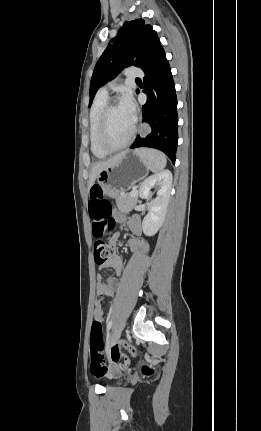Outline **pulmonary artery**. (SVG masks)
<instances>
[{
	"label": "pulmonary artery",
	"instance_id": "obj_1",
	"mask_svg": "<svg viewBox=\"0 0 261 431\" xmlns=\"http://www.w3.org/2000/svg\"><path fill=\"white\" fill-rule=\"evenodd\" d=\"M125 75L128 78H140L144 75L143 71L139 68L131 67L125 71ZM98 94L106 95L108 94V86L105 85L101 87L98 91Z\"/></svg>",
	"mask_w": 261,
	"mask_h": 431
}]
</instances>
